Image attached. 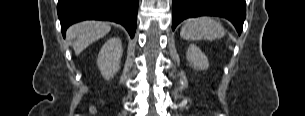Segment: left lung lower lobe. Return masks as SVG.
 <instances>
[{
  "instance_id": "1",
  "label": "left lung lower lobe",
  "mask_w": 305,
  "mask_h": 116,
  "mask_svg": "<svg viewBox=\"0 0 305 116\" xmlns=\"http://www.w3.org/2000/svg\"><path fill=\"white\" fill-rule=\"evenodd\" d=\"M204 15L230 20L240 34L246 16V3L245 0H173L172 29L186 18Z\"/></svg>"
}]
</instances>
